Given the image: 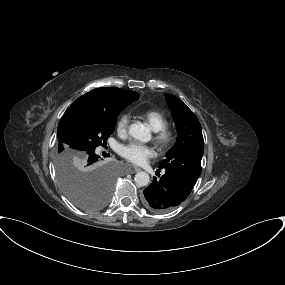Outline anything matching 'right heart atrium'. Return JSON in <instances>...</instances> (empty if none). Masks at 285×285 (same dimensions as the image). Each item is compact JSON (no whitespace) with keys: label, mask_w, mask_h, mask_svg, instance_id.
I'll return each mask as SVG.
<instances>
[{"label":"right heart atrium","mask_w":285,"mask_h":285,"mask_svg":"<svg viewBox=\"0 0 285 285\" xmlns=\"http://www.w3.org/2000/svg\"><path fill=\"white\" fill-rule=\"evenodd\" d=\"M130 116L128 114L121 115L116 122V131L119 135H126L130 125Z\"/></svg>","instance_id":"1"}]
</instances>
